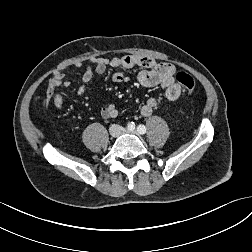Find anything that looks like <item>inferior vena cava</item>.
Masks as SVG:
<instances>
[{
    "label": "inferior vena cava",
    "mask_w": 252,
    "mask_h": 252,
    "mask_svg": "<svg viewBox=\"0 0 252 252\" xmlns=\"http://www.w3.org/2000/svg\"><path fill=\"white\" fill-rule=\"evenodd\" d=\"M123 132V128L119 125L112 126L110 128V133L114 136H118Z\"/></svg>",
    "instance_id": "602c4592"
}]
</instances>
